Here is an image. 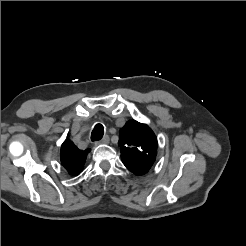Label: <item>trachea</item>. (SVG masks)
Listing matches in <instances>:
<instances>
[{
    "label": "trachea",
    "mask_w": 246,
    "mask_h": 246,
    "mask_svg": "<svg viewBox=\"0 0 246 246\" xmlns=\"http://www.w3.org/2000/svg\"><path fill=\"white\" fill-rule=\"evenodd\" d=\"M104 134V127L102 124H96L92 133H91V141H99Z\"/></svg>",
    "instance_id": "trachea-1"
}]
</instances>
